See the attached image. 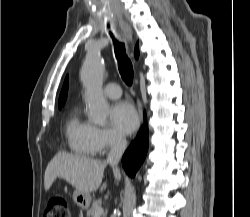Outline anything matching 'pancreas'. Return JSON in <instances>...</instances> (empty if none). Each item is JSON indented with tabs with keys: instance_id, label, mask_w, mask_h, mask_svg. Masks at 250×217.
Listing matches in <instances>:
<instances>
[{
	"instance_id": "pancreas-1",
	"label": "pancreas",
	"mask_w": 250,
	"mask_h": 217,
	"mask_svg": "<svg viewBox=\"0 0 250 217\" xmlns=\"http://www.w3.org/2000/svg\"><path fill=\"white\" fill-rule=\"evenodd\" d=\"M101 207V201L100 200H95L91 206V208L87 211V216L88 217H94L95 211L97 208Z\"/></svg>"
}]
</instances>
